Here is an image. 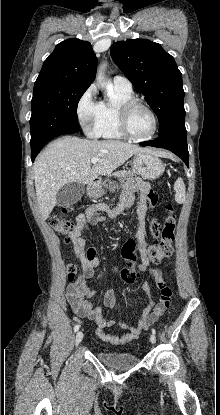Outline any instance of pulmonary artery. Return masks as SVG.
Instances as JSON below:
<instances>
[{
  "label": "pulmonary artery",
  "instance_id": "obj_1",
  "mask_svg": "<svg viewBox=\"0 0 220 415\" xmlns=\"http://www.w3.org/2000/svg\"><path fill=\"white\" fill-rule=\"evenodd\" d=\"M113 86L115 89L122 92H131L132 86L130 81L123 76H115L113 78Z\"/></svg>",
  "mask_w": 220,
  "mask_h": 415
}]
</instances>
